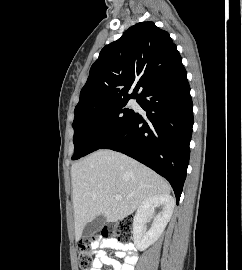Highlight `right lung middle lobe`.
Wrapping results in <instances>:
<instances>
[{"label": "right lung middle lobe", "mask_w": 242, "mask_h": 270, "mask_svg": "<svg viewBox=\"0 0 242 270\" xmlns=\"http://www.w3.org/2000/svg\"><path fill=\"white\" fill-rule=\"evenodd\" d=\"M128 101H112L75 113L73 160L98 150L125 126L134 114Z\"/></svg>", "instance_id": "right-lung-middle-lobe-1"}]
</instances>
